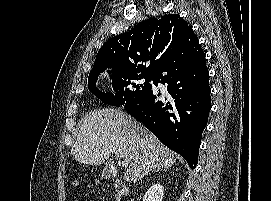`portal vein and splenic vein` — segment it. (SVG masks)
Segmentation results:
<instances>
[{
  "label": "portal vein and splenic vein",
  "instance_id": "portal-vein-and-splenic-vein-1",
  "mask_svg": "<svg viewBox=\"0 0 271 201\" xmlns=\"http://www.w3.org/2000/svg\"><path fill=\"white\" fill-rule=\"evenodd\" d=\"M118 157H122V156H120V155H117ZM128 165H129V161L127 160V159H124L123 161H122V166L123 167H128Z\"/></svg>",
  "mask_w": 271,
  "mask_h": 201
}]
</instances>
